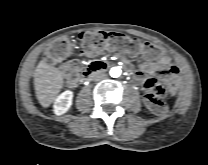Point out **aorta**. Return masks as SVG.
Returning <instances> with one entry per match:
<instances>
[{"label": "aorta", "mask_w": 208, "mask_h": 165, "mask_svg": "<svg viewBox=\"0 0 208 165\" xmlns=\"http://www.w3.org/2000/svg\"><path fill=\"white\" fill-rule=\"evenodd\" d=\"M109 74L111 77L113 78H118L121 76L122 74V70H121V67L120 66H117V67H112L109 71Z\"/></svg>", "instance_id": "obj_1"}]
</instances>
